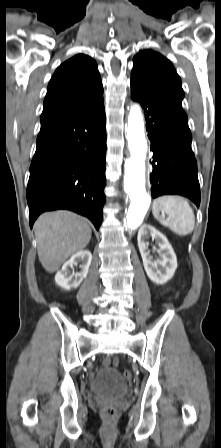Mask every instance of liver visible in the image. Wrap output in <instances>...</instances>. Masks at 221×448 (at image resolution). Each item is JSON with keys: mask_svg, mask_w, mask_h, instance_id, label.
Instances as JSON below:
<instances>
[{"mask_svg": "<svg viewBox=\"0 0 221 448\" xmlns=\"http://www.w3.org/2000/svg\"><path fill=\"white\" fill-rule=\"evenodd\" d=\"M39 260L53 273L73 254L82 251L91 239L89 221L69 211L42 214L34 225Z\"/></svg>", "mask_w": 221, "mask_h": 448, "instance_id": "liver-1", "label": "liver"}]
</instances>
